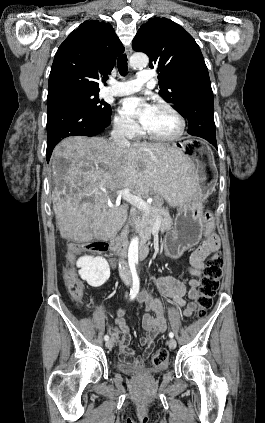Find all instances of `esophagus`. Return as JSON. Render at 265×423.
<instances>
[{
  "label": "esophagus",
  "instance_id": "obj_1",
  "mask_svg": "<svg viewBox=\"0 0 265 423\" xmlns=\"http://www.w3.org/2000/svg\"><path fill=\"white\" fill-rule=\"evenodd\" d=\"M126 54H127V56H128V57H130V56H131V54H132V48H131V46H128V47H127V49H126Z\"/></svg>",
  "mask_w": 265,
  "mask_h": 423
}]
</instances>
